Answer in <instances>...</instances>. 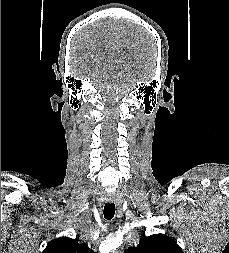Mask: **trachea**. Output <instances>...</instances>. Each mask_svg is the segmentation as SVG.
I'll return each instance as SVG.
<instances>
[{
    "label": "trachea",
    "mask_w": 229,
    "mask_h": 253,
    "mask_svg": "<svg viewBox=\"0 0 229 253\" xmlns=\"http://www.w3.org/2000/svg\"><path fill=\"white\" fill-rule=\"evenodd\" d=\"M103 214H104L105 219L111 220L115 214V204L113 202L106 203L104 206Z\"/></svg>",
    "instance_id": "obj_1"
}]
</instances>
